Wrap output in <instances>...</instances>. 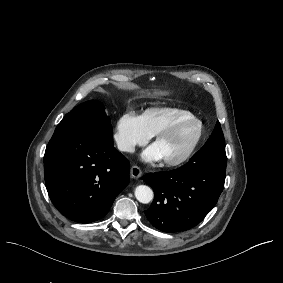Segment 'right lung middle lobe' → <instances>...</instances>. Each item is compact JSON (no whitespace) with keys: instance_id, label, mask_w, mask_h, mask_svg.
<instances>
[{"instance_id":"1","label":"right lung middle lobe","mask_w":283,"mask_h":283,"mask_svg":"<svg viewBox=\"0 0 283 283\" xmlns=\"http://www.w3.org/2000/svg\"><path fill=\"white\" fill-rule=\"evenodd\" d=\"M63 130L87 132L101 137L113 136L110 118L101 103L94 100L86 101L66 114L55 132Z\"/></svg>"}]
</instances>
